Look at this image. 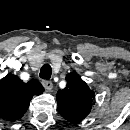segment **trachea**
<instances>
[{"label":"trachea","mask_w":130,"mask_h":130,"mask_svg":"<svg viewBox=\"0 0 130 130\" xmlns=\"http://www.w3.org/2000/svg\"><path fill=\"white\" fill-rule=\"evenodd\" d=\"M51 73H52L51 66H50L49 64H44V65L41 67L39 76H40L42 79L49 80V79L51 78Z\"/></svg>","instance_id":"trachea-1"}]
</instances>
